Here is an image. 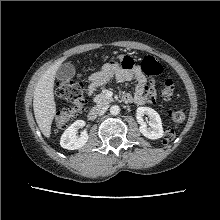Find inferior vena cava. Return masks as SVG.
I'll list each match as a JSON object with an SVG mask.
<instances>
[{
    "instance_id": "602c4592",
    "label": "inferior vena cava",
    "mask_w": 220,
    "mask_h": 220,
    "mask_svg": "<svg viewBox=\"0 0 220 220\" xmlns=\"http://www.w3.org/2000/svg\"><path fill=\"white\" fill-rule=\"evenodd\" d=\"M105 111H106V108H104V107L103 108L95 107L91 110V113L95 114V115H102V114H104Z\"/></svg>"
}]
</instances>
